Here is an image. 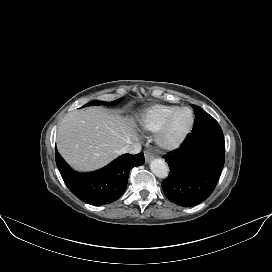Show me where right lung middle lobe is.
I'll return each instance as SVG.
<instances>
[{"label":"right lung middle lobe","mask_w":272,"mask_h":272,"mask_svg":"<svg viewBox=\"0 0 272 272\" xmlns=\"http://www.w3.org/2000/svg\"><path fill=\"white\" fill-rule=\"evenodd\" d=\"M119 101H120V99L115 100L113 102L92 101V102H89L88 104L84 105L83 107H87V106H91V105H107V106H111V105H116Z\"/></svg>","instance_id":"right-lung-middle-lobe-1"}]
</instances>
